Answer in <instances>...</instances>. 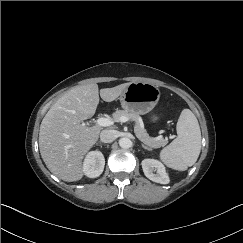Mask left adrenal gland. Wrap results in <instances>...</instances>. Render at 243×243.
Returning a JSON list of instances; mask_svg holds the SVG:
<instances>
[{"label": "left adrenal gland", "instance_id": "obj_1", "mask_svg": "<svg viewBox=\"0 0 243 243\" xmlns=\"http://www.w3.org/2000/svg\"><path fill=\"white\" fill-rule=\"evenodd\" d=\"M144 149H146V150H148V151H150L151 149L150 148H148L147 146H145V145H141Z\"/></svg>", "mask_w": 243, "mask_h": 243}]
</instances>
